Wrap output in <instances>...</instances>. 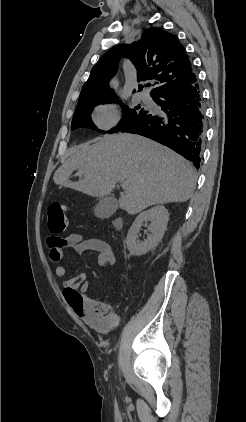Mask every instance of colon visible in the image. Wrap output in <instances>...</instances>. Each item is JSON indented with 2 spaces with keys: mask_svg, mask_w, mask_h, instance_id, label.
Listing matches in <instances>:
<instances>
[{
  "mask_svg": "<svg viewBox=\"0 0 246 422\" xmlns=\"http://www.w3.org/2000/svg\"><path fill=\"white\" fill-rule=\"evenodd\" d=\"M48 229L51 233H62L67 227V218L65 215V206L60 202H53L47 210Z\"/></svg>",
  "mask_w": 246,
  "mask_h": 422,
  "instance_id": "1",
  "label": "colon"
}]
</instances>
